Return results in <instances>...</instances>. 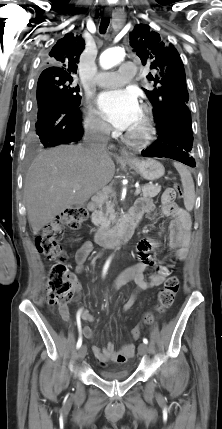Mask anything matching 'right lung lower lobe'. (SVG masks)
I'll use <instances>...</instances> for the list:
<instances>
[{"mask_svg": "<svg viewBox=\"0 0 222 429\" xmlns=\"http://www.w3.org/2000/svg\"><path fill=\"white\" fill-rule=\"evenodd\" d=\"M36 134L44 147L78 141L83 135L79 105L57 93L46 96L37 106Z\"/></svg>", "mask_w": 222, "mask_h": 429, "instance_id": "1", "label": "right lung lower lobe"}]
</instances>
